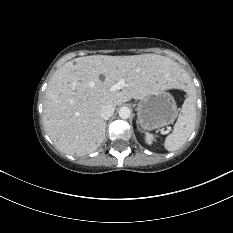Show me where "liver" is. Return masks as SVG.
Masks as SVG:
<instances>
[{
	"mask_svg": "<svg viewBox=\"0 0 233 233\" xmlns=\"http://www.w3.org/2000/svg\"><path fill=\"white\" fill-rule=\"evenodd\" d=\"M120 79L125 80V87L110 91ZM185 81L184 70L161 55L76 58L49 81L43 108L45 130L59 151L89 154L105 138L106 122L100 117L103 105L118 106L132 98L141 100L158 91L183 88Z\"/></svg>",
	"mask_w": 233,
	"mask_h": 233,
	"instance_id": "liver-1",
	"label": "liver"
}]
</instances>
